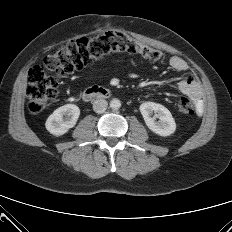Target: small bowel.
I'll list each match as a JSON object with an SVG mask.
<instances>
[{
  "label": "small bowel",
  "mask_w": 232,
  "mask_h": 232,
  "mask_svg": "<svg viewBox=\"0 0 232 232\" xmlns=\"http://www.w3.org/2000/svg\"><path fill=\"white\" fill-rule=\"evenodd\" d=\"M171 68L178 72H188V63L179 56H172L169 60ZM178 90L181 94L190 97L196 104L198 112L203 109V93L197 80L193 76H187L179 81Z\"/></svg>",
  "instance_id": "obj_1"
}]
</instances>
